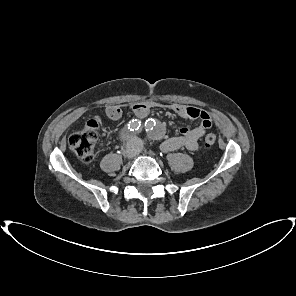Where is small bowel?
I'll return each mask as SVG.
<instances>
[{
	"instance_id": "1",
	"label": "small bowel",
	"mask_w": 296,
	"mask_h": 296,
	"mask_svg": "<svg viewBox=\"0 0 296 296\" xmlns=\"http://www.w3.org/2000/svg\"><path fill=\"white\" fill-rule=\"evenodd\" d=\"M159 106L151 101L137 102L132 106L134 114L138 118H145L152 108ZM169 108L178 116L183 118H199L200 124L194 128L183 127L180 129V135L170 137L162 143V150L165 152L179 149H188L195 151L199 147V140L212 127L211 115L202 109L181 104H171ZM106 116L111 121H117L122 117V110L119 106L110 105L106 107Z\"/></svg>"
}]
</instances>
